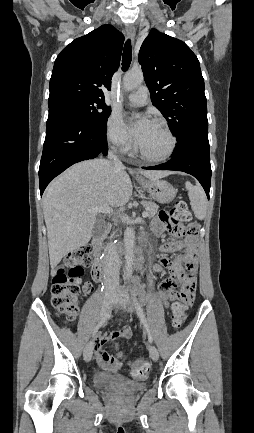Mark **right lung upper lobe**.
<instances>
[{
  "instance_id": "right-lung-upper-lobe-1",
  "label": "right lung upper lobe",
  "mask_w": 254,
  "mask_h": 433,
  "mask_svg": "<svg viewBox=\"0 0 254 433\" xmlns=\"http://www.w3.org/2000/svg\"><path fill=\"white\" fill-rule=\"evenodd\" d=\"M124 36L102 25L75 39L57 56L50 79L48 105L71 98L104 100L118 69Z\"/></svg>"
}]
</instances>
